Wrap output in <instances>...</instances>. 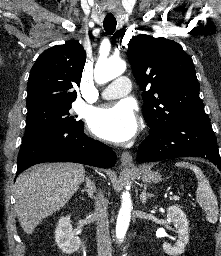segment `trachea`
I'll return each instance as SVG.
<instances>
[{"mask_svg": "<svg viewBox=\"0 0 221 256\" xmlns=\"http://www.w3.org/2000/svg\"><path fill=\"white\" fill-rule=\"evenodd\" d=\"M116 21H104L103 26L107 33L111 34L116 29Z\"/></svg>", "mask_w": 221, "mask_h": 256, "instance_id": "trachea-1", "label": "trachea"}]
</instances>
